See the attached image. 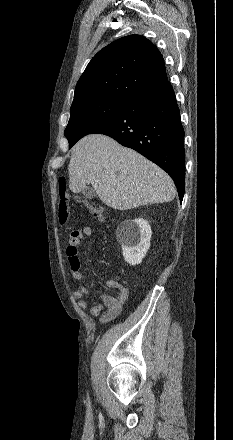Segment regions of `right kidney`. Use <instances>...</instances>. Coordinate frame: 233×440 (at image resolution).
<instances>
[{"label": "right kidney", "mask_w": 233, "mask_h": 440, "mask_svg": "<svg viewBox=\"0 0 233 440\" xmlns=\"http://www.w3.org/2000/svg\"><path fill=\"white\" fill-rule=\"evenodd\" d=\"M151 235L148 221L142 218L124 221L120 224L117 229V239L127 263L134 266L142 262L150 247Z\"/></svg>", "instance_id": "1"}]
</instances>
